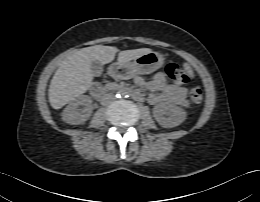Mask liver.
<instances>
[{
    "instance_id": "1",
    "label": "liver",
    "mask_w": 260,
    "mask_h": 202,
    "mask_svg": "<svg viewBox=\"0 0 260 202\" xmlns=\"http://www.w3.org/2000/svg\"><path fill=\"white\" fill-rule=\"evenodd\" d=\"M117 52L116 47L96 45L83 48L64 60L55 72L49 86L48 96L52 108L60 109L85 93L93 81L91 62L98 60L103 65L110 63ZM149 52H152L149 48L120 51L118 62H130Z\"/></svg>"
}]
</instances>
